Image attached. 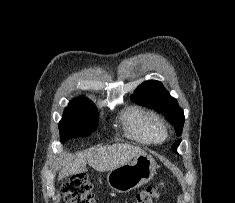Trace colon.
<instances>
[{
	"instance_id": "5ec220e1",
	"label": "colon",
	"mask_w": 235,
	"mask_h": 203,
	"mask_svg": "<svg viewBox=\"0 0 235 203\" xmlns=\"http://www.w3.org/2000/svg\"><path fill=\"white\" fill-rule=\"evenodd\" d=\"M160 184L137 193L129 203H155L160 197ZM66 203H97L92 185L84 174L72 175L63 186Z\"/></svg>"
}]
</instances>
